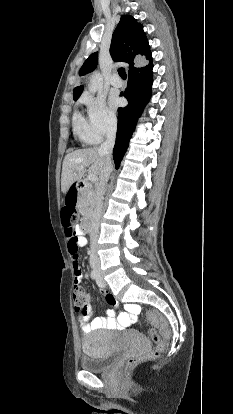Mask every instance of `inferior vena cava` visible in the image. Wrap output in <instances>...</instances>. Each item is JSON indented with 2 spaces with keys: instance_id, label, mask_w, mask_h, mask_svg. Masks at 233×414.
I'll return each instance as SVG.
<instances>
[{
  "instance_id": "602c4592",
  "label": "inferior vena cava",
  "mask_w": 233,
  "mask_h": 414,
  "mask_svg": "<svg viewBox=\"0 0 233 414\" xmlns=\"http://www.w3.org/2000/svg\"><path fill=\"white\" fill-rule=\"evenodd\" d=\"M116 130H117V121L113 120L109 123L107 132H106V140L100 145L99 152L106 157L105 166L99 176L100 182L97 190V198H96V205L92 214V225L94 232L90 233V250L92 251L90 262L94 265H99L100 261L97 256L99 253V248L97 247V232L100 225V219L102 215V206H103V195L105 193V185L109 180L110 174L112 172L113 166L111 162V155L113 151V147L115 144L116 138Z\"/></svg>"
}]
</instances>
